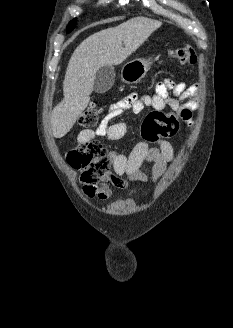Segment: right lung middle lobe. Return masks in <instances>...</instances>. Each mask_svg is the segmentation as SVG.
<instances>
[{
	"label": "right lung middle lobe",
	"mask_w": 233,
	"mask_h": 328,
	"mask_svg": "<svg viewBox=\"0 0 233 328\" xmlns=\"http://www.w3.org/2000/svg\"><path fill=\"white\" fill-rule=\"evenodd\" d=\"M76 20L77 18L73 19L67 26V33L71 32L74 27H75V24H76Z\"/></svg>",
	"instance_id": "obj_1"
}]
</instances>
